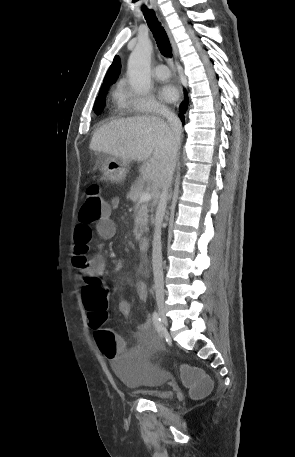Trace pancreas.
I'll return each mask as SVG.
<instances>
[{
  "instance_id": "pancreas-1",
  "label": "pancreas",
  "mask_w": 295,
  "mask_h": 457,
  "mask_svg": "<svg viewBox=\"0 0 295 457\" xmlns=\"http://www.w3.org/2000/svg\"><path fill=\"white\" fill-rule=\"evenodd\" d=\"M144 186L142 183H137L132 185L130 192L127 194V198H129L133 202H138L140 199V195L144 192ZM149 204L143 203L136 215L134 221V235L137 239L141 238L144 232H148V212H149Z\"/></svg>"
}]
</instances>
